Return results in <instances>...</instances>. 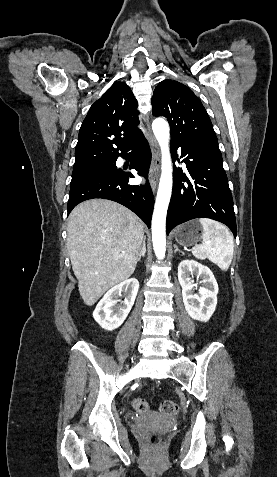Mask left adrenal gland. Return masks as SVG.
Instances as JSON below:
<instances>
[{"label":"left adrenal gland","instance_id":"1","mask_svg":"<svg viewBox=\"0 0 277 477\" xmlns=\"http://www.w3.org/2000/svg\"><path fill=\"white\" fill-rule=\"evenodd\" d=\"M176 252H180L182 255H184V252L181 251V250L178 248L177 245H174V253H176Z\"/></svg>","mask_w":277,"mask_h":477}]
</instances>
